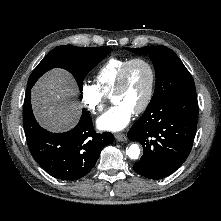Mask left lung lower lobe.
I'll return each instance as SVG.
<instances>
[{
    "label": "left lung lower lobe",
    "instance_id": "left-lung-lower-lobe-1",
    "mask_svg": "<svg viewBox=\"0 0 221 221\" xmlns=\"http://www.w3.org/2000/svg\"><path fill=\"white\" fill-rule=\"evenodd\" d=\"M197 121L196 91L148 106L128 132L130 140L143 146V156L133 166L135 172L149 179L175 172L192 149Z\"/></svg>",
    "mask_w": 221,
    "mask_h": 221
}]
</instances>
